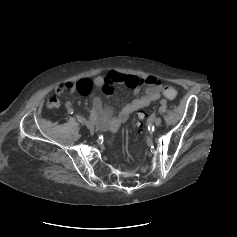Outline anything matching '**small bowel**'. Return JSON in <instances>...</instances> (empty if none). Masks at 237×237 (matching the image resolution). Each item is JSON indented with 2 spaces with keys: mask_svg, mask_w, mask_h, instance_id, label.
Returning a JSON list of instances; mask_svg holds the SVG:
<instances>
[{
  "mask_svg": "<svg viewBox=\"0 0 237 237\" xmlns=\"http://www.w3.org/2000/svg\"><path fill=\"white\" fill-rule=\"evenodd\" d=\"M115 84H124L132 88L135 93L139 92L141 86H145V94L125 104L116 116H112L110 107L104 106L99 97L93 99L90 113L91 118L111 131L117 130L132 112L158 100L162 89V83L156 77L149 76L142 79L137 76L111 71L105 76H97L94 79L86 78L77 82L58 85L54 91L57 95H62L65 92H78L82 95H88L94 88H98L105 95H112L114 93L113 85ZM69 106L70 104L67 103L66 107Z\"/></svg>",
  "mask_w": 237,
  "mask_h": 237,
  "instance_id": "small-bowel-1",
  "label": "small bowel"
}]
</instances>
